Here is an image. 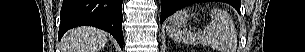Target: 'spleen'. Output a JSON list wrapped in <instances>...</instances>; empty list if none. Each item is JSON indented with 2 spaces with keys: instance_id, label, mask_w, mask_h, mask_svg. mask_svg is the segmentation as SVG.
Instances as JSON below:
<instances>
[{
  "instance_id": "1",
  "label": "spleen",
  "mask_w": 305,
  "mask_h": 52,
  "mask_svg": "<svg viewBox=\"0 0 305 52\" xmlns=\"http://www.w3.org/2000/svg\"><path fill=\"white\" fill-rule=\"evenodd\" d=\"M169 37L177 42L189 45L202 44L218 52H230V37L234 34L233 22L227 12L220 9L211 10V22L203 32L183 31L168 27Z\"/></svg>"
}]
</instances>
